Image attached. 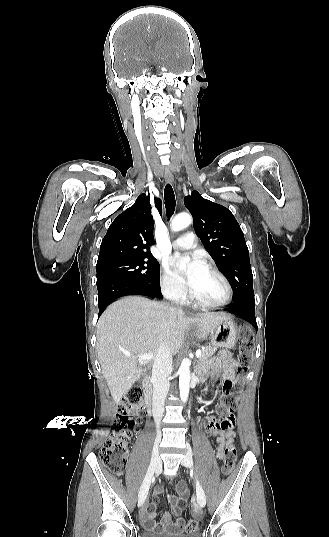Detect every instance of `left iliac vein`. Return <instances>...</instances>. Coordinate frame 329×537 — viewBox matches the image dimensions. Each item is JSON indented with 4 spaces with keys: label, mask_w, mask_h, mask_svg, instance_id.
Returning a JSON list of instances; mask_svg holds the SVG:
<instances>
[{
    "label": "left iliac vein",
    "mask_w": 329,
    "mask_h": 537,
    "mask_svg": "<svg viewBox=\"0 0 329 537\" xmlns=\"http://www.w3.org/2000/svg\"><path fill=\"white\" fill-rule=\"evenodd\" d=\"M181 464L183 466L187 467V468L192 469L193 461H192V457H191V455L189 453H187L186 456L182 459ZM160 469H161V464H160L159 470ZM196 494H197L198 506L200 508H203L206 505V496H205V492H204L202 486L199 484L198 481H197V486H196Z\"/></svg>",
    "instance_id": "obj_1"
}]
</instances>
